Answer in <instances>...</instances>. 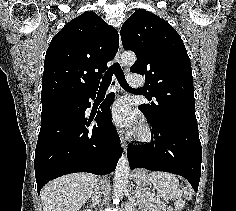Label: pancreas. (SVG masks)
<instances>
[{
    "instance_id": "cf45deb5",
    "label": "pancreas",
    "mask_w": 236,
    "mask_h": 211,
    "mask_svg": "<svg viewBox=\"0 0 236 211\" xmlns=\"http://www.w3.org/2000/svg\"><path fill=\"white\" fill-rule=\"evenodd\" d=\"M140 196L137 200V204L144 208V211H161L163 208L162 203L158 198H155L146 192V190L139 189Z\"/></svg>"
}]
</instances>
